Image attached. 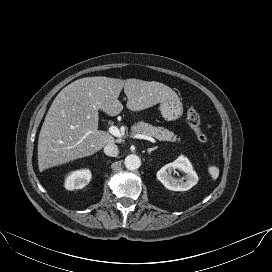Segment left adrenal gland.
Here are the masks:
<instances>
[{"instance_id":"1","label":"left adrenal gland","mask_w":272,"mask_h":272,"mask_svg":"<svg viewBox=\"0 0 272 272\" xmlns=\"http://www.w3.org/2000/svg\"><path fill=\"white\" fill-rule=\"evenodd\" d=\"M157 148H158L157 146H156V147H153V148H149V149H148V154H151L152 151L156 150Z\"/></svg>"}]
</instances>
